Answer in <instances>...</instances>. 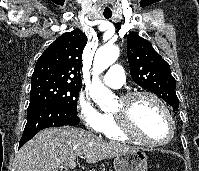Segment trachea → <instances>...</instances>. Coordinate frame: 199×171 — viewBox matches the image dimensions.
<instances>
[{"label": "trachea", "instance_id": "1", "mask_svg": "<svg viewBox=\"0 0 199 171\" xmlns=\"http://www.w3.org/2000/svg\"><path fill=\"white\" fill-rule=\"evenodd\" d=\"M111 16H112V12H104V17H105L106 19L111 18Z\"/></svg>", "mask_w": 199, "mask_h": 171}]
</instances>
